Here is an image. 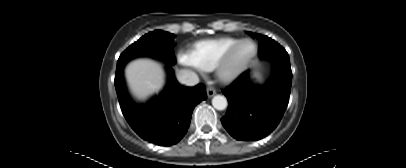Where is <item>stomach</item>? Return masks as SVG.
I'll return each mask as SVG.
<instances>
[{
  "mask_svg": "<svg viewBox=\"0 0 406 168\" xmlns=\"http://www.w3.org/2000/svg\"><path fill=\"white\" fill-rule=\"evenodd\" d=\"M254 77L259 78L260 77V71L257 69L254 72Z\"/></svg>",
  "mask_w": 406,
  "mask_h": 168,
  "instance_id": "obj_1",
  "label": "stomach"
}]
</instances>
